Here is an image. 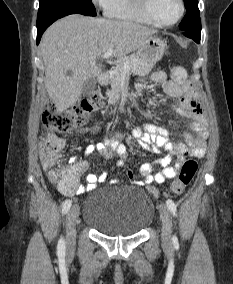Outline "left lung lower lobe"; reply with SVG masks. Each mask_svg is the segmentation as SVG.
I'll return each mask as SVG.
<instances>
[{
  "label": "left lung lower lobe",
  "instance_id": "1",
  "mask_svg": "<svg viewBox=\"0 0 233 284\" xmlns=\"http://www.w3.org/2000/svg\"><path fill=\"white\" fill-rule=\"evenodd\" d=\"M183 34L193 39L196 43H199L201 38V32L183 31Z\"/></svg>",
  "mask_w": 233,
  "mask_h": 284
}]
</instances>
